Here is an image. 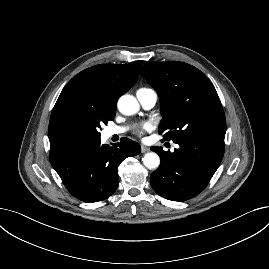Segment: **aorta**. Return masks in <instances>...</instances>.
Instances as JSON below:
<instances>
[{"label":"aorta","mask_w":269,"mask_h":269,"mask_svg":"<svg viewBox=\"0 0 269 269\" xmlns=\"http://www.w3.org/2000/svg\"><path fill=\"white\" fill-rule=\"evenodd\" d=\"M119 111L124 115H134L139 110V103L132 95H123L117 103ZM143 164L148 169H157L160 157L155 152H149L142 158Z\"/></svg>","instance_id":"aorta-1"}]
</instances>
